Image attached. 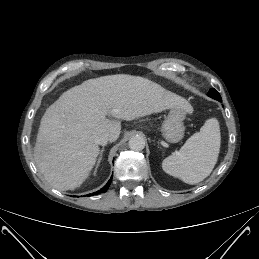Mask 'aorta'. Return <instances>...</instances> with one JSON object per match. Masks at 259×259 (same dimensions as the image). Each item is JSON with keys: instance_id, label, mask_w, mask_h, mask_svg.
Wrapping results in <instances>:
<instances>
[{"instance_id": "obj_1", "label": "aorta", "mask_w": 259, "mask_h": 259, "mask_svg": "<svg viewBox=\"0 0 259 259\" xmlns=\"http://www.w3.org/2000/svg\"><path fill=\"white\" fill-rule=\"evenodd\" d=\"M128 145L131 150L141 151L145 147V139L139 135L133 136L130 138Z\"/></svg>"}]
</instances>
